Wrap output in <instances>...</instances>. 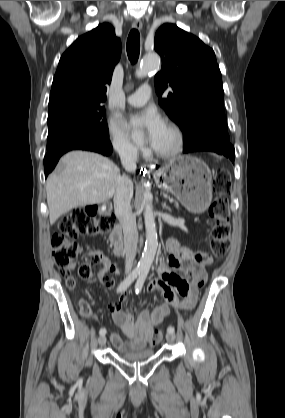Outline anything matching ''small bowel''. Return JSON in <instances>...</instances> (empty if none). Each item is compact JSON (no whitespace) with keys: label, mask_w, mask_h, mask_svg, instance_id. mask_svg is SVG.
I'll return each instance as SVG.
<instances>
[{"label":"small bowel","mask_w":285,"mask_h":418,"mask_svg":"<svg viewBox=\"0 0 285 418\" xmlns=\"http://www.w3.org/2000/svg\"><path fill=\"white\" fill-rule=\"evenodd\" d=\"M166 248L170 255L159 262L157 276L148 285V293L151 296H162L166 299V302L152 311L144 309L135 317L133 309H123V303L126 299V292L123 290L118 300L111 306L116 324L130 339V342H124L118 333L113 332L110 339L118 351L124 352L130 349L144 348L153 333L154 326L161 323L168 316L171 308L181 309L186 307L188 302H194L197 299L199 289L207 281V273L203 269L205 263L202 261V256L205 254L180 247L173 238H169L166 241ZM181 261L188 263L183 270ZM104 262L105 265L95 271L92 274V278L100 283L115 286L117 284L116 281L107 279L106 274L118 276L120 270L108 258H104ZM65 283L69 289L75 287V280L69 270L66 274ZM179 296L181 299H179ZM91 311L90 304L85 300H81V315L89 318Z\"/></svg>","instance_id":"small-bowel-1"}]
</instances>
